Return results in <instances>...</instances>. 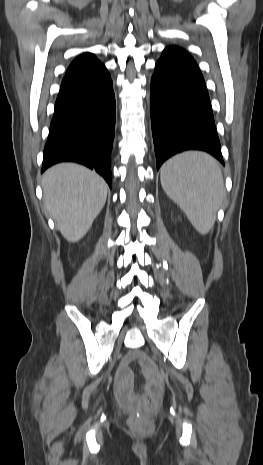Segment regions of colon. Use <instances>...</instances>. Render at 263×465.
Segmentation results:
<instances>
[{"instance_id":"colon-1","label":"colon","mask_w":263,"mask_h":465,"mask_svg":"<svg viewBox=\"0 0 263 465\" xmlns=\"http://www.w3.org/2000/svg\"><path fill=\"white\" fill-rule=\"evenodd\" d=\"M160 392L161 387L158 382H148L146 385V393L128 404L134 411V415L130 419V424L133 428L140 431H148L151 429L148 415L155 412L157 397Z\"/></svg>"}]
</instances>
